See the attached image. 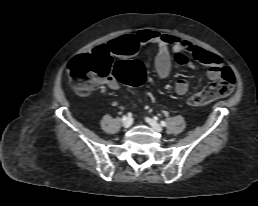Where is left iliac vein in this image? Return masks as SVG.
Here are the masks:
<instances>
[{"mask_svg":"<svg viewBox=\"0 0 258 206\" xmlns=\"http://www.w3.org/2000/svg\"><path fill=\"white\" fill-rule=\"evenodd\" d=\"M146 121L150 124V126L157 132H162L163 128L160 124H158L155 120L146 118Z\"/></svg>","mask_w":258,"mask_h":206,"instance_id":"4c4485c4","label":"left iliac vein"}]
</instances>
